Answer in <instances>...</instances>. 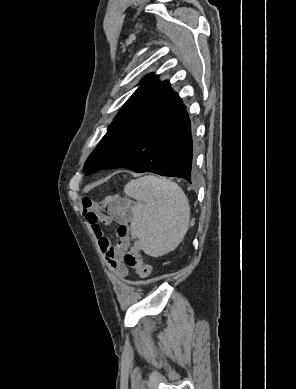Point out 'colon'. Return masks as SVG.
Masks as SVG:
<instances>
[{"label":"colon","mask_w":296,"mask_h":389,"mask_svg":"<svg viewBox=\"0 0 296 389\" xmlns=\"http://www.w3.org/2000/svg\"><path fill=\"white\" fill-rule=\"evenodd\" d=\"M125 264L134 269L141 279H147L151 273V266L144 263L138 245H133L124 255Z\"/></svg>","instance_id":"obj_1"}]
</instances>
